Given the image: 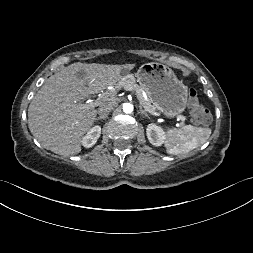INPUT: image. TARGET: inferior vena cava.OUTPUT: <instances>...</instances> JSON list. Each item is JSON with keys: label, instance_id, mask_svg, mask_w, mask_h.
<instances>
[{"label": "inferior vena cava", "instance_id": "1", "mask_svg": "<svg viewBox=\"0 0 253 253\" xmlns=\"http://www.w3.org/2000/svg\"><path fill=\"white\" fill-rule=\"evenodd\" d=\"M115 105L116 101L110 100L109 102H106L99 107L98 113L100 114V116H107L115 107Z\"/></svg>", "mask_w": 253, "mask_h": 253}]
</instances>
